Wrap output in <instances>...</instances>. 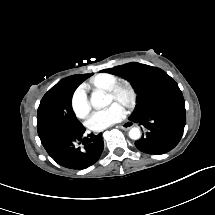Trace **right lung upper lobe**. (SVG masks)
<instances>
[{"label":"right lung upper lobe","mask_w":215,"mask_h":215,"mask_svg":"<svg viewBox=\"0 0 215 215\" xmlns=\"http://www.w3.org/2000/svg\"><path fill=\"white\" fill-rule=\"evenodd\" d=\"M79 76H84V77H88V76H90V74H85V75H79Z\"/></svg>","instance_id":"cb5924a9"}]
</instances>
